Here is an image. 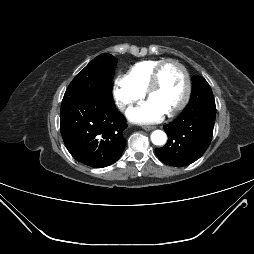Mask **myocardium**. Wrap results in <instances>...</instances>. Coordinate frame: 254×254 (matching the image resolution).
<instances>
[{
	"label": "myocardium",
	"mask_w": 254,
	"mask_h": 254,
	"mask_svg": "<svg viewBox=\"0 0 254 254\" xmlns=\"http://www.w3.org/2000/svg\"><path fill=\"white\" fill-rule=\"evenodd\" d=\"M170 63L176 65L177 67H179V69L181 70V72L183 74V77H184V93H183V96H182L180 102L177 104V106L174 107L171 111L167 112V114L169 116H174L177 113H179L186 106V104H187V102L190 98V94H191V80H190L188 70L186 69L184 64L181 63L179 60L168 58V59H164L162 62H160L158 64V66L155 68V70L153 72V75H152L151 81L149 83V86L146 89V96L149 98L151 93L158 87V85L160 83L161 72H162L163 68L167 64H170Z\"/></svg>",
	"instance_id": "f54148a6"
}]
</instances>
